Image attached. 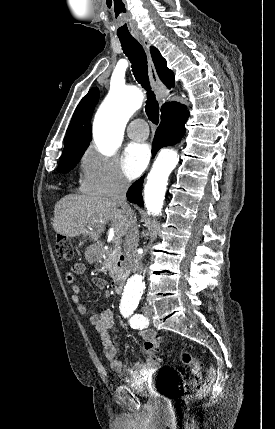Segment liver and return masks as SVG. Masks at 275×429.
<instances>
[{
  "label": "liver",
  "mask_w": 275,
  "mask_h": 429,
  "mask_svg": "<svg viewBox=\"0 0 275 429\" xmlns=\"http://www.w3.org/2000/svg\"><path fill=\"white\" fill-rule=\"evenodd\" d=\"M109 222L118 237L125 235L127 217L118 203L104 197L69 194L55 205L52 225L58 234L82 235L81 247L87 240H98Z\"/></svg>",
  "instance_id": "obj_1"
}]
</instances>
